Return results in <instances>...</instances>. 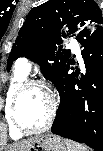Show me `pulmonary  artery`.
I'll return each mask as SVG.
<instances>
[{
    "label": "pulmonary artery",
    "instance_id": "pulmonary-artery-1",
    "mask_svg": "<svg viewBox=\"0 0 103 151\" xmlns=\"http://www.w3.org/2000/svg\"><path fill=\"white\" fill-rule=\"evenodd\" d=\"M70 48L72 49L73 52H78L79 51V46H78V43L75 39H72L70 41V44H69ZM17 66L22 69L23 71H25L26 73H29L32 69V63L31 61L28 59V58H20L18 61H17Z\"/></svg>",
    "mask_w": 103,
    "mask_h": 151
}]
</instances>
